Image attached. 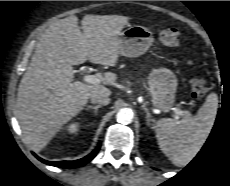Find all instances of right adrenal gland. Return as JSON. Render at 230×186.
<instances>
[{"label":"right adrenal gland","instance_id":"obj_1","mask_svg":"<svg viewBox=\"0 0 230 186\" xmlns=\"http://www.w3.org/2000/svg\"><path fill=\"white\" fill-rule=\"evenodd\" d=\"M100 107H101V105H96V106L87 105L86 110L93 109V110H94V114L97 115V114H98V109H99Z\"/></svg>","mask_w":230,"mask_h":186}]
</instances>
